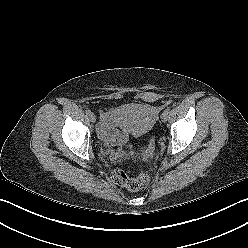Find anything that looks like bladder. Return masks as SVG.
<instances>
[{
  "instance_id": "bladder-1",
  "label": "bladder",
  "mask_w": 248,
  "mask_h": 248,
  "mask_svg": "<svg viewBox=\"0 0 248 248\" xmlns=\"http://www.w3.org/2000/svg\"><path fill=\"white\" fill-rule=\"evenodd\" d=\"M115 116L119 124L127 128L134 136L150 132L157 121L154 108L145 103H128L118 107Z\"/></svg>"
}]
</instances>
